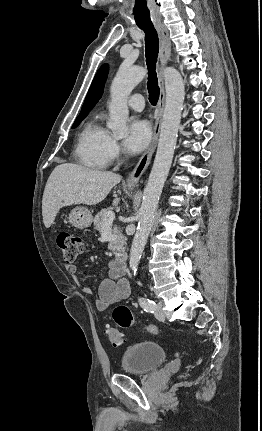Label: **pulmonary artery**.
<instances>
[{"mask_svg": "<svg viewBox=\"0 0 262 431\" xmlns=\"http://www.w3.org/2000/svg\"><path fill=\"white\" fill-rule=\"evenodd\" d=\"M128 105L134 111L141 112L145 107V99L141 94H134L129 98Z\"/></svg>", "mask_w": 262, "mask_h": 431, "instance_id": "1", "label": "pulmonary artery"}]
</instances>
